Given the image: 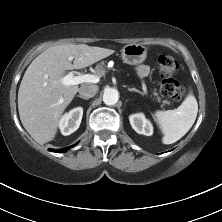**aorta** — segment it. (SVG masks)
I'll return each instance as SVG.
<instances>
[{"label": "aorta", "instance_id": "762f6f07", "mask_svg": "<svg viewBox=\"0 0 222 222\" xmlns=\"http://www.w3.org/2000/svg\"><path fill=\"white\" fill-rule=\"evenodd\" d=\"M119 92L114 88H107L103 94V101L106 105H114L118 102Z\"/></svg>", "mask_w": 222, "mask_h": 222}]
</instances>
